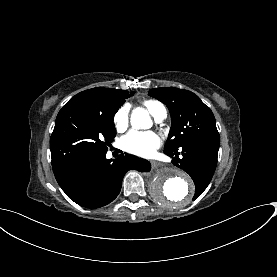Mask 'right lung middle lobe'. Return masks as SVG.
I'll use <instances>...</instances> for the list:
<instances>
[{
    "label": "right lung middle lobe",
    "instance_id": "obj_1",
    "mask_svg": "<svg viewBox=\"0 0 277 277\" xmlns=\"http://www.w3.org/2000/svg\"><path fill=\"white\" fill-rule=\"evenodd\" d=\"M114 114L79 105L63 107L50 139L52 166L77 156L107 151L108 143L116 135Z\"/></svg>",
    "mask_w": 277,
    "mask_h": 277
}]
</instances>
